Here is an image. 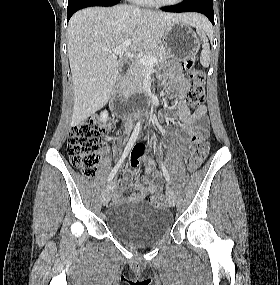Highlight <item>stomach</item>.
<instances>
[{
    "mask_svg": "<svg viewBox=\"0 0 280 285\" xmlns=\"http://www.w3.org/2000/svg\"><path fill=\"white\" fill-rule=\"evenodd\" d=\"M162 44L170 56L178 59H189L200 48V40L195 32L182 22L173 23L166 29Z\"/></svg>",
    "mask_w": 280,
    "mask_h": 285,
    "instance_id": "1",
    "label": "stomach"
}]
</instances>
